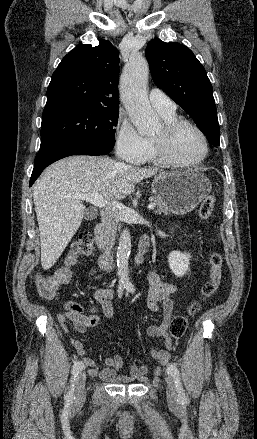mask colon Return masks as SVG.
<instances>
[{"label": "colon", "mask_w": 257, "mask_h": 439, "mask_svg": "<svg viewBox=\"0 0 257 439\" xmlns=\"http://www.w3.org/2000/svg\"><path fill=\"white\" fill-rule=\"evenodd\" d=\"M215 201L216 199L212 195L207 196L202 201L199 208L201 218L207 219L211 216ZM92 252V236L89 233H82L78 241L72 245L63 266L51 276L36 275L34 277V283L40 296L44 298L55 296L59 288L69 282L71 278L70 268L76 264L79 258L87 257ZM222 265V255L217 251L211 252L209 256V278L202 288V299L210 298L218 289L222 279ZM199 308L200 302H193L189 307V314L187 316L173 317L167 329V337L175 339L182 337L188 327L189 317L195 314Z\"/></svg>", "instance_id": "5ec220e1"}]
</instances>
